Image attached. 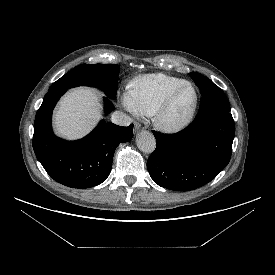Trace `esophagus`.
Listing matches in <instances>:
<instances>
[{"instance_id": "1", "label": "esophagus", "mask_w": 275, "mask_h": 275, "mask_svg": "<svg viewBox=\"0 0 275 275\" xmlns=\"http://www.w3.org/2000/svg\"><path fill=\"white\" fill-rule=\"evenodd\" d=\"M143 127L140 123H135L134 125V132L137 133L138 131L142 130Z\"/></svg>"}]
</instances>
